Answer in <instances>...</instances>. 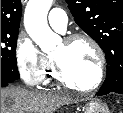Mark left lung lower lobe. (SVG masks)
<instances>
[{"instance_id": "obj_1", "label": "left lung lower lobe", "mask_w": 123, "mask_h": 113, "mask_svg": "<svg viewBox=\"0 0 123 113\" xmlns=\"http://www.w3.org/2000/svg\"><path fill=\"white\" fill-rule=\"evenodd\" d=\"M110 92H116V93H120L123 94V89H117V90H106L103 88H100V90L98 91L97 95L101 96V95H106Z\"/></svg>"}]
</instances>
